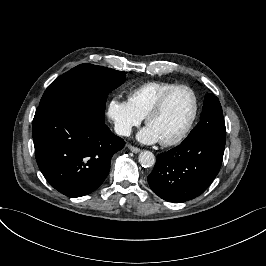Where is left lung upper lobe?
Returning a JSON list of instances; mask_svg holds the SVG:
<instances>
[{"label": "left lung upper lobe", "instance_id": "1", "mask_svg": "<svg viewBox=\"0 0 266 266\" xmlns=\"http://www.w3.org/2000/svg\"><path fill=\"white\" fill-rule=\"evenodd\" d=\"M220 135L226 137V128L222 113V107L218 98L213 94H207L204 100L200 122L189 133L184 141L193 139L199 135Z\"/></svg>", "mask_w": 266, "mask_h": 266}]
</instances>
